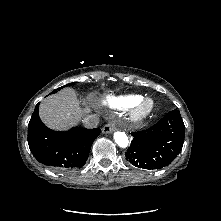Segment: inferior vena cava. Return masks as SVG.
<instances>
[{"label":"inferior vena cava","mask_w":221,"mask_h":221,"mask_svg":"<svg viewBox=\"0 0 221 221\" xmlns=\"http://www.w3.org/2000/svg\"><path fill=\"white\" fill-rule=\"evenodd\" d=\"M82 122L85 128H95L99 124V117L97 115H89Z\"/></svg>","instance_id":"602c4592"}]
</instances>
